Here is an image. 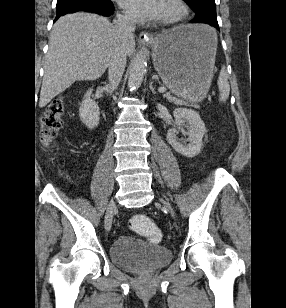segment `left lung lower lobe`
I'll list each match as a JSON object with an SVG mask.
<instances>
[{
	"instance_id": "1",
	"label": "left lung lower lobe",
	"mask_w": 286,
	"mask_h": 308,
	"mask_svg": "<svg viewBox=\"0 0 286 308\" xmlns=\"http://www.w3.org/2000/svg\"><path fill=\"white\" fill-rule=\"evenodd\" d=\"M189 22L209 24L219 30L216 8H206L196 12L195 17Z\"/></svg>"
}]
</instances>
